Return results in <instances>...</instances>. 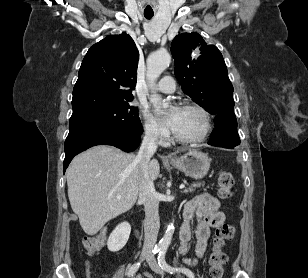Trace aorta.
<instances>
[{"label": "aorta", "instance_id": "1", "mask_svg": "<svg viewBox=\"0 0 308 278\" xmlns=\"http://www.w3.org/2000/svg\"><path fill=\"white\" fill-rule=\"evenodd\" d=\"M171 62V56L166 51H158L151 54L147 60V78L151 85H153L156 79L161 75V73L169 66ZM152 103H161V98L158 94H152L150 97ZM163 106L167 107V103L163 101ZM174 231L173 224L168 225L167 230L163 238L159 242V248L161 250H166L172 240Z\"/></svg>", "mask_w": 308, "mask_h": 278}]
</instances>
